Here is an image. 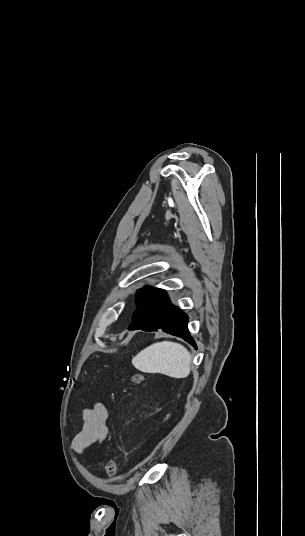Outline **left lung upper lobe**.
I'll return each mask as SVG.
<instances>
[{"instance_id":"1","label":"left lung upper lobe","mask_w":305,"mask_h":536,"mask_svg":"<svg viewBox=\"0 0 305 536\" xmlns=\"http://www.w3.org/2000/svg\"><path fill=\"white\" fill-rule=\"evenodd\" d=\"M161 289L158 288H145V289H139L137 291V297H136V305L137 307L142 304L144 301H146L148 298L159 292Z\"/></svg>"}]
</instances>
